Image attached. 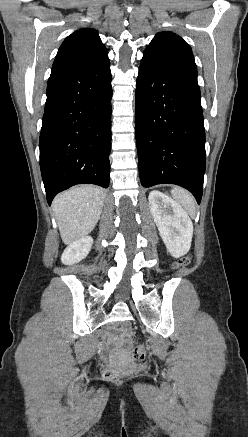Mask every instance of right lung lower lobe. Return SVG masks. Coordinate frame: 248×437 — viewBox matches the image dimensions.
<instances>
[{
    "instance_id": "obj_1",
    "label": "right lung lower lobe",
    "mask_w": 248,
    "mask_h": 437,
    "mask_svg": "<svg viewBox=\"0 0 248 437\" xmlns=\"http://www.w3.org/2000/svg\"><path fill=\"white\" fill-rule=\"evenodd\" d=\"M111 79L109 61L87 69L51 71L39 139L49 205L57 193L73 185H109Z\"/></svg>"
}]
</instances>
